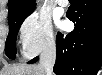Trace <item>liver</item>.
Wrapping results in <instances>:
<instances>
[{
	"mask_svg": "<svg viewBox=\"0 0 102 75\" xmlns=\"http://www.w3.org/2000/svg\"><path fill=\"white\" fill-rule=\"evenodd\" d=\"M0 75H46L42 66L38 65H19L5 67L1 70Z\"/></svg>",
	"mask_w": 102,
	"mask_h": 75,
	"instance_id": "obj_1",
	"label": "liver"
}]
</instances>
